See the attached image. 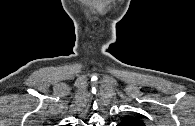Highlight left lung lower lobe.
I'll use <instances>...</instances> for the list:
<instances>
[{
    "mask_svg": "<svg viewBox=\"0 0 195 126\" xmlns=\"http://www.w3.org/2000/svg\"><path fill=\"white\" fill-rule=\"evenodd\" d=\"M117 126H127V125L121 122V123L118 124Z\"/></svg>",
    "mask_w": 195,
    "mask_h": 126,
    "instance_id": "0a47b994",
    "label": "left lung lower lobe"
}]
</instances>
